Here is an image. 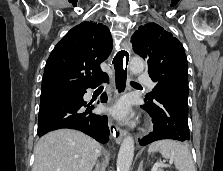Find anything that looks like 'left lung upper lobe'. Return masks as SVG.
Returning a JSON list of instances; mask_svg holds the SVG:
<instances>
[{
	"label": "left lung upper lobe",
	"instance_id": "5c2ea615",
	"mask_svg": "<svg viewBox=\"0 0 223 171\" xmlns=\"http://www.w3.org/2000/svg\"><path fill=\"white\" fill-rule=\"evenodd\" d=\"M131 41L134 52L147 62L149 76L156 83L145 102L152 103L164 91L187 100V58L180 41L156 23L140 26Z\"/></svg>",
	"mask_w": 223,
	"mask_h": 171
}]
</instances>
